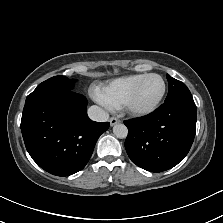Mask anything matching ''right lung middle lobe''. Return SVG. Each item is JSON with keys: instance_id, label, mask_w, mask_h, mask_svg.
<instances>
[{"instance_id": "dd1d6c3e", "label": "right lung middle lobe", "mask_w": 223, "mask_h": 223, "mask_svg": "<svg viewBox=\"0 0 223 223\" xmlns=\"http://www.w3.org/2000/svg\"><path fill=\"white\" fill-rule=\"evenodd\" d=\"M73 80L65 76H54L40 83L36 89L27 96L26 101L47 96L49 94L71 91Z\"/></svg>"}]
</instances>
